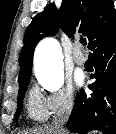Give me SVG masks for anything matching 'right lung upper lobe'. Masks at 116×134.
Wrapping results in <instances>:
<instances>
[{"label":"right lung upper lobe","mask_w":116,"mask_h":134,"mask_svg":"<svg viewBox=\"0 0 116 134\" xmlns=\"http://www.w3.org/2000/svg\"><path fill=\"white\" fill-rule=\"evenodd\" d=\"M58 27L72 39L78 34L86 36L88 48L92 50L116 33L114 3L112 0H62L59 10L51 3L37 14L24 35V47L19 61V91L30 80L37 43L55 35Z\"/></svg>","instance_id":"1"}]
</instances>
